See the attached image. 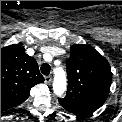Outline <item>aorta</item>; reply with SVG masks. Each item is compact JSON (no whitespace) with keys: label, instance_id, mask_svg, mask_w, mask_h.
Here are the masks:
<instances>
[{"label":"aorta","instance_id":"762f6f07","mask_svg":"<svg viewBox=\"0 0 122 122\" xmlns=\"http://www.w3.org/2000/svg\"><path fill=\"white\" fill-rule=\"evenodd\" d=\"M66 86H67L66 74L62 69H59V71L55 75L53 82L54 93L58 96H61L65 92Z\"/></svg>","mask_w":122,"mask_h":122}]
</instances>
